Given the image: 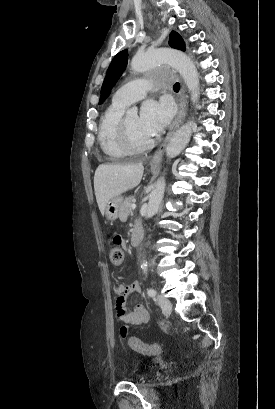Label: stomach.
<instances>
[{"instance_id":"stomach-1","label":"stomach","mask_w":275,"mask_h":409,"mask_svg":"<svg viewBox=\"0 0 275 409\" xmlns=\"http://www.w3.org/2000/svg\"><path fill=\"white\" fill-rule=\"evenodd\" d=\"M152 170L154 172L156 168H152ZM122 202L123 196H113V198H110V200H108L105 209L107 221H116V219H118L119 209L122 205Z\"/></svg>"}]
</instances>
